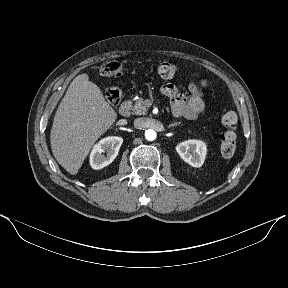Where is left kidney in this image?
<instances>
[{
    "label": "left kidney",
    "instance_id": "5707ae66",
    "mask_svg": "<svg viewBox=\"0 0 288 288\" xmlns=\"http://www.w3.org/2000/svg\"><path fill=\"white\" fill-rule=\"evenodd\" d=\"M176 151L180 157L193 167H201L204 163L207 148L201 140H187L176 146Z\"/></svg>",
    "mask_w": 288,
    "mask_h": 288
}]
</instances>
